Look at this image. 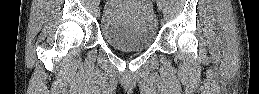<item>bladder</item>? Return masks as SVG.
Here are the masks:
<instances>
[{
    "label": "bladder",
    "instance_id": "31cf9c89",
    "mask_svg": "<svg viewBox=\"0 0 259 94\" xmlns=\"http://www.w3.org/2000/svg\"><path fill=\"white\" fill-rule=\"evenodd\" d=\"M99 25L103 39L120 50H146L158 34V20L148 0L107 1Z\"/></svg>",
    "mask_w": 259,
    "mask_h": 94
}]
</instances>
